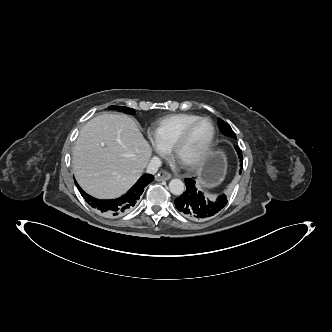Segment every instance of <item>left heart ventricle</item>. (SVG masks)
<instances>
[{"mask_svg":"<svg viewBox=\"0 0 332 332\" xmlns=\"http://www.w3.org/2000/svg\"><path fill=\"white\" fill-rule=\"evenodd\" d=\"M210 136L211 126L207 121L196 124L182 145L177 160L180 163H187L193 160L205 147Z\"/></svg>","mask_w":332,"mask_h":332,"instance_id":"1","label":"left heart ventricle"}]
</instances>
